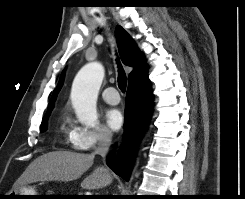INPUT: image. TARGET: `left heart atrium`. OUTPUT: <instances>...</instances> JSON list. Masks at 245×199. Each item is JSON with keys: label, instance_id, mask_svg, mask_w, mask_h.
<instances>
[{"label": "left heart atrium", "instance_id": "left-heart-atrium-1", "mask_svg": "<svg viewBox=\"0 0 245 199\" xmlns=\"http://www.w3.org/2000/svg\"><path fill=\"white\" fill-rule=\"evenodd\" d=\"M105 120L108 127L113 131L121 129L124 118L122 113L118 109H110L106 112Z\"/></svg>", "mask_w": 245, "mask_h": 199}]
</instances>
